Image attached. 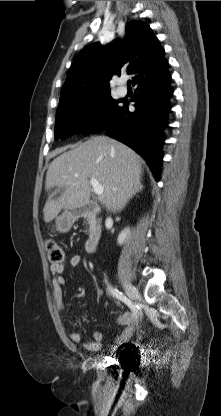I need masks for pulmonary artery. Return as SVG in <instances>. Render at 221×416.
I'll return each mask as SVG.
<instances>
[{
	"label": "pulmonary artery",
	"instance_id": "1",
	"mask_svg": "<svg viewBox=\"0 0 221 416\" xmlns=\"http://www.w3.org/2000/svg\"><path fill=\"white\" fill-rule=\"evenodd\" d=\"M119 94H120L121 96H124V95H126V94H127V90H126L125 88H123V87H120V88H119Z\"/></svg>",
	"mask_w": 221,
	"mask_h": 416
}]
</instances>
